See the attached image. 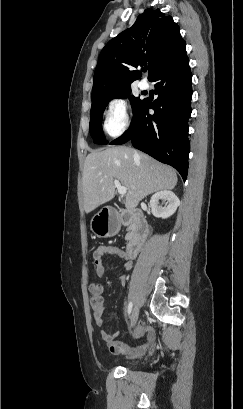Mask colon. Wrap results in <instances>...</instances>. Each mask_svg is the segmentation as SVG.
Here are the masks:
<instances>
[{"label": "colon", "instance_id": "colon-1", "mask_svg": "<svg viewBox=\"0 0 243 409\" xmlns=\"http://www.w3.org/2000/svg\"><path fill=\"white\" fill-rule=\"evenodd\" d=\"M92 298H91V305L94 310H98L103 307V297L101 294V288L98 285H94L91 287Z\"/></svg>", "mask_w": 243, "mask_h": 409}]
</instances>
